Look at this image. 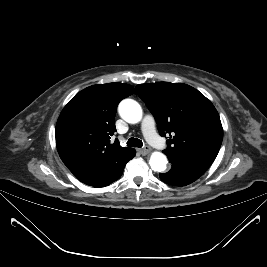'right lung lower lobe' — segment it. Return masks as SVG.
<instances>
[{
    "mask_svg": "<svg viewBox=\"0 0 267 267\" xmlns=\"http://www.w3.org/2000/svg\"><path fill=\"white\" fill-rule=\"evenodd\" d=\"M135 153L136 152H134V154L128 160L123 162L118 168L114 169L108 175H106L102 179L96 181L91 186L104 187V186H107V185L111 184L112 182L118 180L121 177L122 173H123V170L125 168L126 163L135 156Z\"/></svg>",
    "mask_w": 267,
    "mask_h": 267,
    "instance_id": "obj_1",
    "label": "right lung lower lobe"
}]
</instances>
